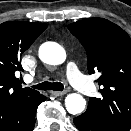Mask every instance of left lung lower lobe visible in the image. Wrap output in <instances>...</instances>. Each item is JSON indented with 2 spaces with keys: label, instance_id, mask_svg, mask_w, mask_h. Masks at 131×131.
Listing matches in <instances>:
<instances>
[{
  "label": "left lung lower lobe",
  "instance_id": "0a47b994",
  "mask_svg": "<svg viewBox=\"0 0 131 131\" xmlns=\"http://www.w3.org/2000/svg\"><path fill=\"white\" fill-rule=\"evenodd\" d=\"M73 121L80 131H117L89 110L74 118Z\"/></svg>",
  "mask_w": 131,
  "mask_h": 131
}]
</instances>
